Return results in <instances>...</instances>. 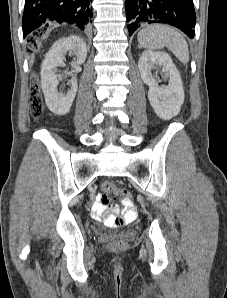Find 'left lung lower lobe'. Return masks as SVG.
<instances>
[{"label":"left lung lower lobe","mask_w":227,"mask_h":298,"mask_svg":"<svg viewBox=\"0 0 227 298\" xmlns=\"http://www.w3.org/2000/svg\"><path fill=\"white\" fill-rule=\"evenodd\" d=\"M126 17L129 35L143 23H168L194 37L193 0H126Z\"/></svg>","instance_id":"left-lung-lower-lobe-1"}]
</instances>
